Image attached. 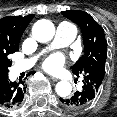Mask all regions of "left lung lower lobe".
Instances as JSON below:
<instances>
[{"instance_id": "left-lung-lower-lobe-1", "label": "left lung lower lobe", "mask_w": 117, "mask_h": 117, "mask_svg": "<svg viewBox=\"0 0 117 117\" xmlns=\"http://www.w3.org/2000/svg\"><path fill=\"white\" fill-rule=\"evenodd\" d=\"M97 90L88 83L84 82L83 89L81 91H77L73 96L62 99L63 106L71 109L81 108L87 106L93 102L97 95Z\"/></svg>"}]
</instances>
